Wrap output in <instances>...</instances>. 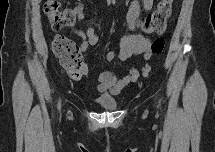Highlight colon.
I'll use <instances>...</instances> for the list:
<instances>
[{
  "mask_svg": "<svg viewBox=\"0 0 215 152\" xmlns=\"http://www.w3.org/2000/svg\"><path fill=\"white\" fill-rule=\"evenodd\" d=\"M44 11L54 29L73 26L78 17L73 9H60L58 1L48 0ZM172 13V1L162 0L156 9L141 20V29L148 33H161L165 30L167 20ZM165 41L159 37L151 45V53L158 55L164 49ZM53 53L60 59L61 65L66 73L73 79L82 75L84 66L83 53L77 44L62 34L55 35L51 42Z\"/></svg>",
  "mask_w": 215,
  "mask_h": 152,
  "instance_id": "colon-1",
  "label": "colon"
}]
</instances>
